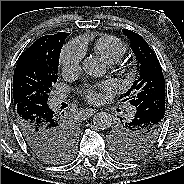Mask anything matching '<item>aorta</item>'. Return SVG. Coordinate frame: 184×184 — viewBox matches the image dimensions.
Wrapping results in <instances>:
<instances>
[{
	"mask_svg": "<svg viewBox=\"0 0 184 184\" xmlns=\"http://www.w3.org/2000/svg\"><path fill=\"white\" fill-rule=\"evenodd\" d=\"M83 70L94 77L103 76L106 72L105 66L95 57H87L82 63ZM94 127L98 130H105L112 125V116L107 112H98L93 117Z\"/></svg>",
	"mask_w": 184,
	"mask_h": 184,
	"instance_id": "762f6f07",
	"label": "aorta"
}]
</instances>
